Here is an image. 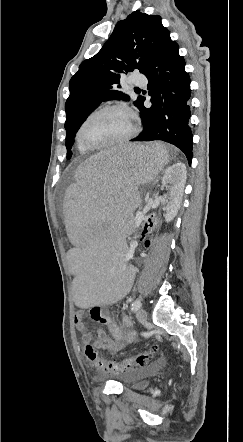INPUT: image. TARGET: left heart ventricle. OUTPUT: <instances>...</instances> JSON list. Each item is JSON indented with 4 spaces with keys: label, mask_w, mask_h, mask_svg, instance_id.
<instances>
[{
    "label": "left heart ventricle",
    "mask_w": 243,
    "mask_h": 442,
    "mask_svg": "<svg viewBox=\"0 0 243 442\" xmlns=\"http://www.w3.org/2000/svg\"><path fill=\"white\" fill-rule=\"evenodd\" d=\"M132 128L130 116L123 111H111L92 119L83 130V139L99 145L127 135Z\"/></svg>",
    "instance_id": "1"
}]
</instances>
